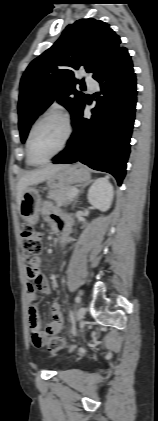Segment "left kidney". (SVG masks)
<instances>
[{"mask_svg":"<svg viewBox=\"0 0 158 421\" xmlns=\"http://www.w3.org/2000/svg\"><path fill=\"white\" fill-rule=\"evenodd\" d=\"M113 196V186L108 177L95 180L87 194L89 203L103 212L111 207Z\"/></svg>","mask_w":158,"mask_h":421,"instance_id":"5707ae66","label":"left kidney"}]
</instances>
